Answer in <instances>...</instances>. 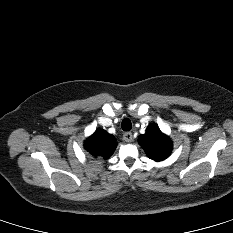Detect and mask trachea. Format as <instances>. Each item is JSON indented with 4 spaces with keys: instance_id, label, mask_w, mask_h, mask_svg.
<instances>
[{
    "instance_id": "trachea-1",
    "label": "trachea",
    "mask_w": 233,
    "mask_h": 233,
    "mask_svg": "<svg viewBox=\"0 0 233 233\" xmlns=\"http://www.w3.org/2000/svg\"><path fill=\"white\" fill-rule=\"evenodd\" d=\"M121 127L124 131H130L132 129V123L128 118L123 119Z\"/></svg>"
}]
</instances>
